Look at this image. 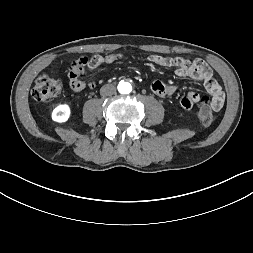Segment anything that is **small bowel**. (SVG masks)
I'll return each instance as SVG.
<instances>
[{
  "instance_id": "c3829d8e",
  "label": "small bowel",
  "mask_w": 253,
  "mask_h": 253,
  "mask_svg": "<svg viewBox=\"0 0 253 253\" xmlns=\"http://www.w3.org/2000/svg\"><path fill=\"white\" fill-rule=\"evenodd\" d=\"M114 58H120L121 55H112ZM78 60L84 64L88 63L87 57H80ZM148 61L155 64L156 67H176V74L181 77H191L203 82L206 91L211 95V107L215 110H220L225 101V96L221 86L213 76L211 69L201 60L189 61L183 58H168L158 55H151ZM90 64V62H89ZM71 78V77H70ZM153 93L159 98H165L170 95L175 87L162 80H154L151 83ZM200 100V96L195 91H190L181 99V107L189 111Z\"/></svg>"
}]
</instances>
